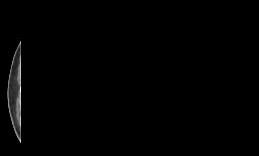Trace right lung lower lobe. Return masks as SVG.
<instances>
[{
  "instance_id": "obj_1",
  "label": "right lung lower lobe",
  "mask_w": 259,
  "mask_h": 156,
  "mask_svg": "<svg viewBox=\"0 0 259 156\" xmlns=\"http://www.w3.org/2000/svg\"><path fill=\"white\" fill-rule=\"evenodd\" d=\"M22 70L26 106L36 122L72 146L86 147L101 138L117 100L131 85L114 55L85 42L77 49L65 27L48 37L39 31Z\"/></svg>"
}]
</instances>
